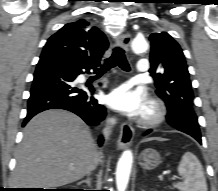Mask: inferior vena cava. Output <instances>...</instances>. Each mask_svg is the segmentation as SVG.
<instances>
[{"label": "inferior vena cava", "mask_w": 218, "mask_h": 191, "mask_svg": "<svg viewBox=\"0 0 218 191\" xmlns=\"http://www.w3.org/2000/svg\"><path fill=\"white\" fill-rule=\"evenodd\" d=\"M116 123V119L115 118H108L105 122V128L103 130L105 139H108L110 134H111V129L113 127V125Z\"/></svg>", "instance_id": "1"}]
</instances>
